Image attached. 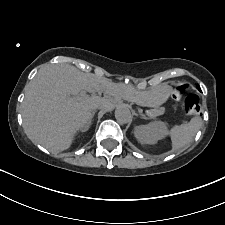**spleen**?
Returning a JSON list of instances; mask_svg holds the SVG:
<instances>
[{
  "instance_id": "1",
  "label": "spleen",
  "mask_w": 225,
  "mask_h": 225,
  "mask_svg": "<svg viewBox=\"0 0 225 225\" xmlns=\"http://www.w3.org/2000/svg\"><path fill=\"white\" fill-rule=\"evenodd\" d=\"M202 124L200 117H194L189 122L175 125L169 131L164 132V136L169 135L172 141V151L181 149L188 145Z\"/></svg>"
}]
</instances>
